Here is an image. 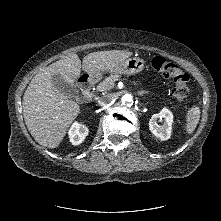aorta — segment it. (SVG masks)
Returning a JSON list of instances; mask_svg holds the SVG:
<instances>
[{
	"label": "aorta",
	"instance_id": "1",
	"mask_svg": "<svg viewBox=\"0 0 221 221\" xmlns=\"http://www.w3.org/2000/svg\"><path fill=\"white\" fill-rule=\"evenodd\" d=\"M121 100H122V103L132 102L133 97L130 94H125Z\"/></svg>",
	"mask_w": 221,
	"mask_h": 221
}]
</instances>
